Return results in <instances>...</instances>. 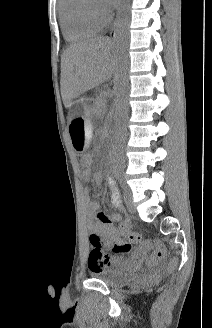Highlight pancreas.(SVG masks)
<instances>
[{"label":"pancreas","instance_id":"1","mask_svg":"<svg viewBox=\"0 0 212 328\" xmlns=\"http://www.w3.org/2000/svg\"><path fill=\"white\" fill-rule=\"evenodd\" d=\"M105 108V99L102 95H100V98L96 102V109L99 110L100 113H104Z\"/></svg>","mask_w":212,"mask_h":328}]
</instances>
